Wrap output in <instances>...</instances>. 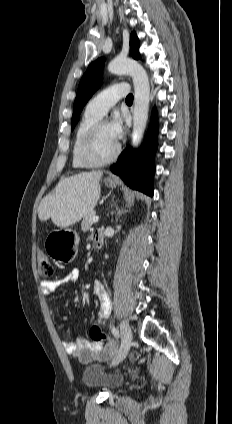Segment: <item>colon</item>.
<instances>
[{"label":"colon","mask_w":232,"mask_h":424,"mask_svg":"<svg viewBox=\"0 0 232 424\" xmlns=\"http://www.w3.org/2000/svg\"><path fill=\"white\" fill-rule=\"evenodd\" d=\"M37 263H38V272L43 277H51L54 273L52 264L50 263L47 255L43 250H38L36 252ZM90 337L93 342L106 345L109 344L110 348L116 347V342L111 341L102 330L97 325H93L89 330Z\"/></svg>","instance_id":"5ec220e1"}]
</instances>
